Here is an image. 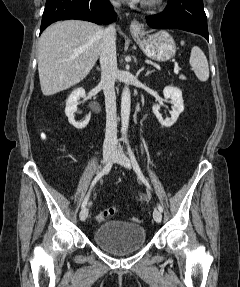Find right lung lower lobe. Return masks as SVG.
<instances>
[{
    "mask_svg": "<svg viewBox=\"0 0 240 287\" xmlns=\"http://www.w3.org/2000/svg\"><path fill=\"white\" fill-rule=\"evenodd\" d=\"M66 19L107 24L115 15L109 0H46L40 33L51 23Z\"/></svg>",
    "mask_w": 240,
    "mask_h": 287,
    "instance_id": "right-lung-lower-lobe-1",
    "label": "right lung lower lobe"
}]
</instances>
